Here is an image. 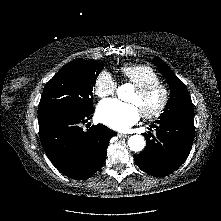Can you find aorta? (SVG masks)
<instances>
[{"instance_id":"762f6f07","label":"aorta","mask_w":221,"mask_h":221,"mask_svg":"<svg viewBox=\"0 0 221 221\" xmlns=\"http://www.w3.org/2000/svg\"><path fill=\"white\" fill-rule=\"evenodd\" d=\"M131 87L129 84H124L120 86L117 90L118 96L121 97L123 93L130 92ZM128 146L130 150L139 152L145 147V139L141 135H133L128 139Z\"/></svg>"}]
</instances>
